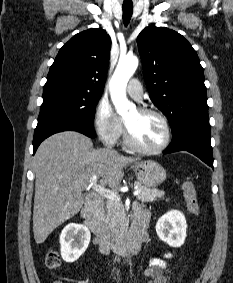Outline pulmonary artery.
Masks as SVG:
<instances>
[{"instance_id":"pulmonary-artery-1","label":"pulmonary artery","mask_w":233,"mask_h":283,"mask_svg":"<svg viewBox=\"0 0 233 283\" xmlns=\"http://www.w3.org/2000/svg\"><path fill=\"white\" fill-rule=\"evenodd\" d=\"M128 94L137 101L142 99L143 89L137 79H132L127 85Z\"/></svg>"}]
</instances>
